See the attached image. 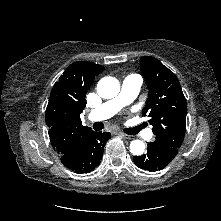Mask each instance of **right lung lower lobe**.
<instances>
[{
    "label": "right lung lower lobe",
    "instance_id": "right-lung-lower-lobe-1",
    "mask_svg": "<svg viewBox=\"0 0 221 221\" xmlns=\"http://www.w3.org/2000/svg\"><path fill=\"white\" fill-rule=\"evenodd\" d=\"M109 132H91L82 148L75 153L61 156V162L75 173L83 174L91 172L101 163L105 143L110 139Z\"/></svg>",
    "mask_w": 221,
    "mask_h": 221
}]
</instances>
